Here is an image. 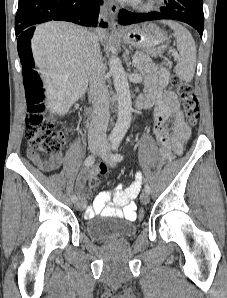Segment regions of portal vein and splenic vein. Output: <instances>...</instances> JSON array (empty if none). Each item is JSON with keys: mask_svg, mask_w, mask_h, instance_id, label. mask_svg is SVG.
<instances>
[{"mask_svg": "<svg viewBox=\"0 0 227 298\" xmlns=\"http://www.w3.org/2000/svg\"><path fill=\"white\" fill-rule=\"evenodd\" d=\"M176 57H178V54L176 52L173 53ZM139 62V59L135 56H133V64H137Z\"/></svg>", "mask_w": 227, "mask_h": 298, "instance_id": "18ae733b", "label": "portal vein and splenic vein"}]
</instances>
